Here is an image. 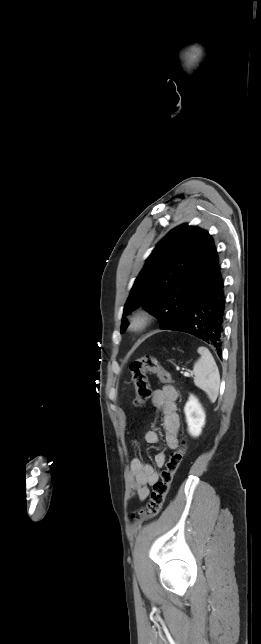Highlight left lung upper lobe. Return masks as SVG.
<instances>
[{"instance_id":"5c2ea615","label":"left lung upper lobe","mask_w":261,"mask_h":644,"mask_svg":"<svg viewBox=\"0 0 261 644\" xmlns=\"http://www.w3.org/2000/svg\"><path fill=\"white\" fill-rule=\"evenodd\" d=\"M220 269L214 240L205 230L183 224L162 239L138 275L124 306L125 315L144 305L160 328L179 319Z\"/></svg>"}]
</instances>
